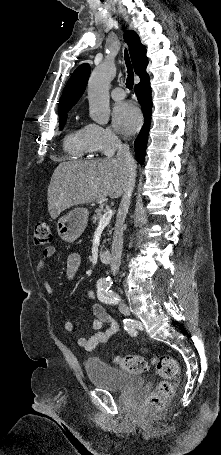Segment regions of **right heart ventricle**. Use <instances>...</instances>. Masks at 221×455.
Listing matches in <instances>:
<instances>
[{
  "label": "right heart ventricle",
  "instance_id": "1",
  "mask_svg": "<svg viewBox=\"0 0 221 455\" xmlns=\"http://www.w3.org/2000/svg\"><path fill=\"white\" fill-rule=\"evenodd\" d=\"M64 149L69 155L76 158L91 157L93 150L86 127L72 128L64 138Z\"/></svg>",
  "mask_w": 221,
  "mask_h": 455
}]
</instances>
